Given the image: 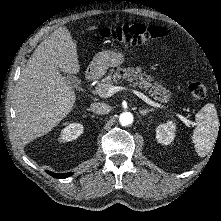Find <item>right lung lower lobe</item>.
Wrapping results in <instances>:
<instances>
[{
  "label": "right lung lower lobe",
  "mask_w": 221,
  "mask_h": 221,
  "mask_svg": "<svg viewBox=\"0 0 221 221\" xmlns=\"http://www.w3.org/2000/svg\"><path fill=\"white\" fill-rule=\"evenodd\" d=\"M49 175H51L52 177L58 178V179H63V178H67L69 176H71L73 173H64V174H55L53 172L50 171H46Z\"/></svg>",
  "instance_id": "obj_1"
}]
</instances>
